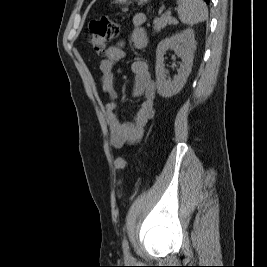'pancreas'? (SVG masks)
<instances>
[{
    "label": "pancreas",
    "instance_id": "1",
    "mask_svg": "<svg viewBox=\"0 0 267 267\" xmlns=\"http://www.w3.org/2000/svg\"><path fill=\"white\" fill-rule=\"evenodd\" d=\"M154 30L160 32L161 29L165 28L167 25H177L178 21L168 15H162L159 18L153 20Z\"/></svg>",
    "mask_w": 267,
    "mask_h": 267
}]
</instances>
